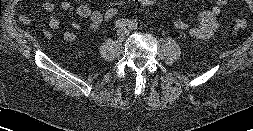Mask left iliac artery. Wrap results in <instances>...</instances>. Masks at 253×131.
Wrapping results in <instances>:
<instances>
[{
	"mask_svg": "<svg viewBox=\"0 0 253 131\" xmlns=\"http://www.w3.org/2000/svg\"><path fill=\"white\" fill-rule=\"evenodd\" d=\"M128 27H129V29H131V30H135V29H137L138 24H137L136 21H130L129 24H128Z\"/></svg>",
	"mask_w": 253,
	"mask_h": 131,
	"instance_id": "44dca946",
	"label": "left iliac artery"
}]
</instances>
